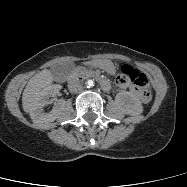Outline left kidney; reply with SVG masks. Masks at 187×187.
<instances>
[{
  "label": "left kidney",
  "instance_id": "left-kidney-1",
  "mask_svg": "<svg viewBox=\"0 0 187 187\" xmlns=\"http://www.w3.org/2000/svg\"><path fill=\"white\" fill-rule=\"evenodd\" d=\"M117 108L123 113L131 116H138L143 112L140 99L131 92L122 91L115 97Z\"/></svg>",
  "mask_w": 187,
  "mask_h": 187
}]
</instances>
